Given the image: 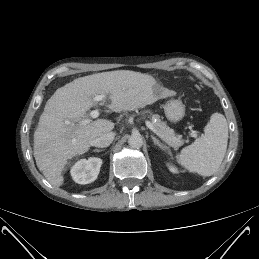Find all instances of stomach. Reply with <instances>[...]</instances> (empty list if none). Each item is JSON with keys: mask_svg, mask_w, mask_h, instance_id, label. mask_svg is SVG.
I'll return each instance as SVG.
<instances>
[{"mask_svg": "<svg viewBox=\"0 0 259 259\" xmlns=\"http://www.w3.org/2000/svg\"><path fill=\"white\" fill-rule=\"evenodd\" d=\"M164 112L167 119L171 122L182 120L185 115V106L180 100L171 99L164 106Z\"/></svg>", "mask_w": 259, "mask_h": 259, "instance_id": "obj_1", "label": "stomach"}]
</instances>
